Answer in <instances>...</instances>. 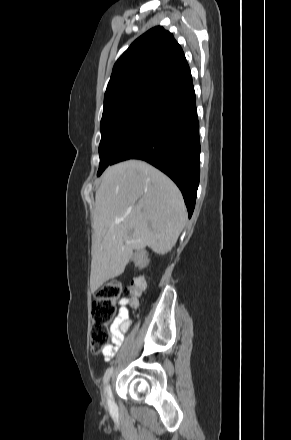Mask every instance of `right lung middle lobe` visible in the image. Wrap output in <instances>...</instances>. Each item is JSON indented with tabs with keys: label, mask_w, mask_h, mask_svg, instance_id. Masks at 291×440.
Segmentation results:
<instances>
[{
	"label": "right lung middle lobe",
	"mask_w": 291,
	"mask_h": 440,
	"mask_svg": "<svg viewBox=\"0 0 291 440\" xmlns=\"http://www.w3.org/2000/svg\"><path fill=\"white\" fill-rule=\"evenodd\" d=\"M155 97L138 96L104 105L100 123V164L97 176L110 165L112 158L140 123Z\"/></svg>",
	"instance_id": "1"
}]
</instances>
